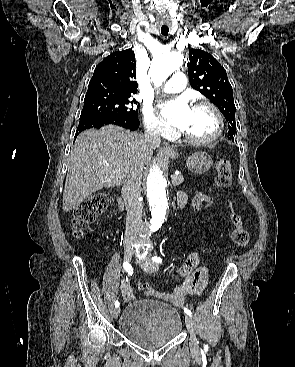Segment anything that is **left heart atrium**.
I'll list each match as a JSON object with an SVG mask.
<instances>
[{
    "label": "left heart atrium",
    "instance_id": "39dd6f15",
    "mask_svg": "<svg viewBox=\"0 0 295 367\" xmlns=\"http://www.w3.org/2000/svg\"><path fill=\"white\" fill-rule=\"evenodd\" d=\"M160 111L162 117L168 124L183 130L190 114L191 107L186 97H179L162 104L160 106Z\"/></svg>",
    "mask_w": 295,
    "mask_h": 367
}]
</instances>
